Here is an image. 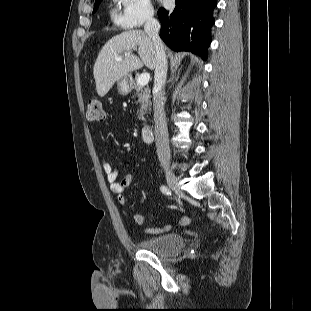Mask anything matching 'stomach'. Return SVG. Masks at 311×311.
Instances as JSON below:
<instances>
[{"instance_id": "stomach-1", "label": "stomach", "mask_w": 311, "mask_h": 311, "mask_svg": "<svg viewBox=\"0 0 311 311\" xmlns=\"http://www.w3.org/2000/svg\"><path fill=\"white\" fill-rule=\"evenodd\" d=\"M132 79L125 76L117 81V90L121 95H127L131 91Z\"/></svg>"}]
</instances>
